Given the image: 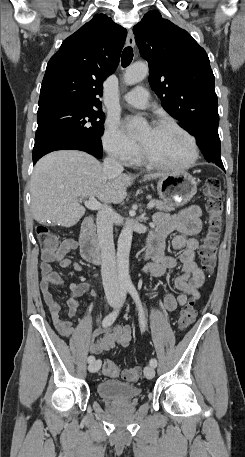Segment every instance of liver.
<instances>
[{"mask_svg": "<svg viewBox=\"0 0 245 457\" xmlns=\"http://www.w3.org/2000/svg\"><path fill=\"white\" fill-rule=\"evenodd\" d=\"M146 178L164 176L162 172ZM133 176H108L97 158L82 150H55L40 158L32 172L31 208L35 220L73 226L85 214L79 198L97 196L102 202H122Z\"/></svg>", "mask_w": 245, "mask_h": 457, "instance_id": "liver-1", "label": "liver"}]
</instances>
